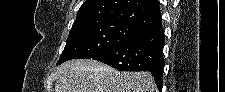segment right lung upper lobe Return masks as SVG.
Here are the masks:
<instances>
[{
    "instance_id": "1",
    "label": "right lung upper lobe",
    "mask_w": 225,
    "mask_h": 92,
    "mask_svg": "<svg viewBox=\"0 0 225 92\" xmlns=\"http://www.w3.org/2000/svg\"><path fill=\"white\" fill-rule=\"evenodd\" d=\"M120 22L142 32L162 26L158 0H86L72 27Z\"/></svg>"
}]
</instances>
